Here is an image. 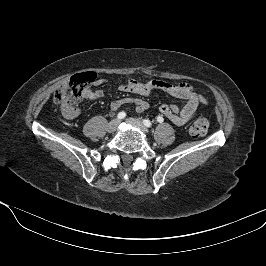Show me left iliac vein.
Segmentation results:
<instances>
[{"label": "left iliac vein", "mask_w": 266, "mask_h": 266, "mask_svg": "<svg viewBox=\"0 0 266 266\" xmlns=\"http://www.w3.org/2000/svg\"><path fill=\"white\" fill-rule=\"evenodd\" d=\"M126 122L130 125L136 126L138 127L143 133L147 134L148 130L147 128L144 126V124L139 120V119H135V118H128L126 120Z\"/></svg>", "instance_id": "1"}]
</instances>
